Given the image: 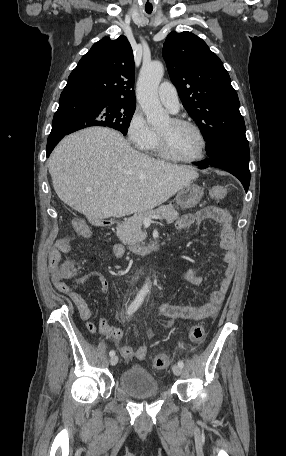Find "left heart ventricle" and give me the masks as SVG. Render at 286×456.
<instances>
[{
  "label": "left heart ventricle",
  "mask_w": 286,
  "mask_h": 456,
  "mask_svg": "<svg viewBox=\"0 0 286 456\" xmlns=\"http://www.w3.org/2000/svg\"><path fill=\"white\" fill-rule=\"evenodd\" d=\"M158 132L164 136L172 154L180 158H192L201 151V140L196 131L187 126H179L168 120Z\"/></svg>",
  "instance_id": "b2bd125f"
}]
</instances>
